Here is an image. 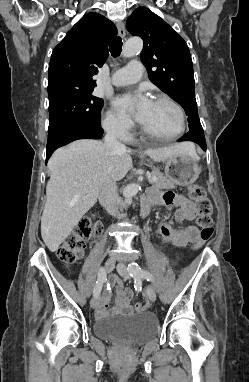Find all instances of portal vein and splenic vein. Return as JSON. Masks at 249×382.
Instances as JSON below:
<instances>
[{
	"label": "portal vein and splenic vein",
	"instance_id": "18ae733b",
	"mask_svg": "<svg viewBox=\"0 0 249 382\" xmlns=\"http://www.w3.org/2000/svg\"><path fill=\"white\" fill-rule=\"evenodd\" d=\"M156 180H157L156 177H152V178H150L149 182L152 184V183H154Z\"/></svg>",
	"mask_w": 249,
	"mask_h": 382
}]
</instances>
